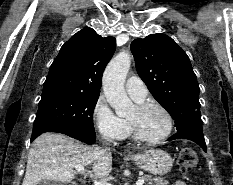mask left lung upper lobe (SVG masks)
I'll return each instance as SVG.
<instances>
[{
    "label": "left lung upper lobe",
    "instance_id": "1",
    "mask_svg": "<svg viewBox=\"0 0 233 185\" xmlns=\"http://www.w3.org/2000/svg\"><path fill=\"white\" fill-rule=\"evenodd\" d=\"M136 69L154 98L175 120L177 131L201 125L199 85L187 54L157 33L131 43Z\"/></svg>",
    "mask_w": 233,
    "mask_h": 185
}]
</instances>
